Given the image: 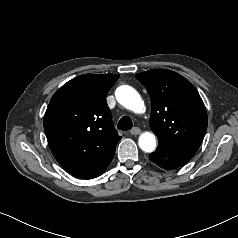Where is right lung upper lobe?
<instances>
[{
	"label": "right lung upper lobe",
	"mask_w": 238,
	"mask_h": 238,
	"mask_svg": "<svg viewBox=\"0 0 238 238\" xmlns=\"http://www.w3.org/2000/svg\"><path fill=\"white\" fill-rule=\"evenodd\" d=\"M120 75L84 74L51 98L44 130L58 163L70 174L91 179L111 162L121 136L113 129L106 94Z\"/></svg>",
	"instance_id": "right-lung-upper-lobe-1"
}]
</instances>
